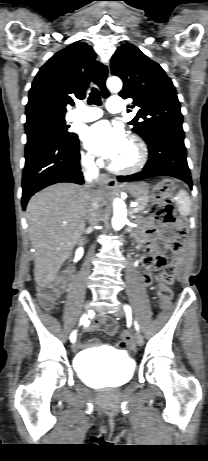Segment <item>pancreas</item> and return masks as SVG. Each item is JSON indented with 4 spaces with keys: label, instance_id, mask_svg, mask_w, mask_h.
I'll use <instances>...</instances> for the list:
<instances>
[{
    "label": "pancreas",
    "instance_id": "obj_1",
    "mask_svg": "<svg viewBox=\"0 0 208 461\" xmlns=\"http://www.w3.org/2000/svg\"><path fill=\"white\" fill-rule=\"evenodd\" d=\"M148 199V196L137 199L138 206L136 208V212L142 211L146 208L148 205Z\"/></svg>",
    "mask_w": 208,
    "mask_h": 461
}]
</instances>
